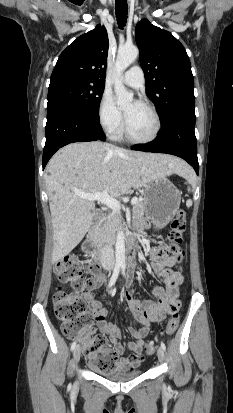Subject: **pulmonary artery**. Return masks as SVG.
Masks as SVG:
<instances>
[{"label": "pulmonary artery", "mask_w": 233, "mask_h": 413, "mask_svg": "<svg viewBox=\"0 0 233 413\" xmlns=\"http://www.w3.org/2000/svg\"><path fill=\"white\" fill-rule=\"evenodd\" d=\"M123 81L130 87L142 88L144 86V74L139 66L131 67L123 76Z\"/></svg>", "instance_id": "e3ab8cb5"}]
</instances>
